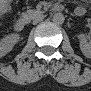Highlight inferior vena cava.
<instances>
[{
    "label": "inferior vena cava",
    "mask_w": 91,
    "mask_h": 91,
    "mask_svg": "<svg viewBox=\"0 0 91 91\" xmlns=\"http://www.w3.org/2000/svg\"><path fill=\"white\" fill-rule=\"evenodd\" d=\"M42 19H44V16L43 15H40L38 17H36L34 20H33V24H37L39 21H41Z\"/></svg>",
    "instance_id": "1"
}]
</instances>
